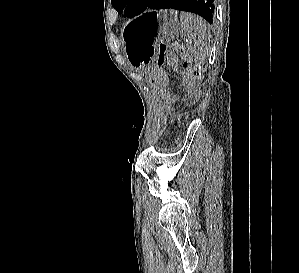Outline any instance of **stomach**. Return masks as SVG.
Wrapping results in <instances>:
<instances>
[{"label":"stomach","mask_w":299,"mask_h":273,"mask_svg":"<svg viewBox=\"0 0 299 273\" xmlns=\"http://www.w3.org/2000/svg\"><path fill=\"white\" fill-rule=\"evenodd\" d=\"M183 33L180 15L175 10L150 11L128 22L122 30L125 56L141 74H165V69H155L154 50L158 41H170Z\"/></svg>","instance_id":"stomach-1"}]
</instances>
